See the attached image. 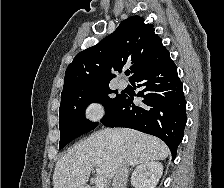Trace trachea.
I'll list each match as a JSON object with an SVG mask.
<instances>
[{"instance_id": "1", "label": "trachea", "mask_w": 224, "mask_h": 188, "mask_svg": "<svg viewBox=\"0 0 224 188\" xmlns=\"http://www.w3.org/2000/svg\"><path fill=\"white\" fill-rule=\"evenodd\" d=\"M130 74V72H126V75L128 76Z\"/></svg>"}]
</instances>
